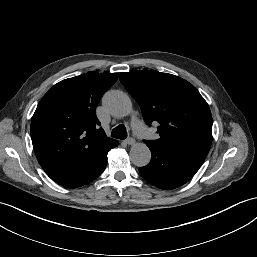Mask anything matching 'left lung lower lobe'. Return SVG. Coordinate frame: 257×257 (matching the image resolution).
<instances>
[{"mask_svg":"<svg viewBox=\"0 0 257 257\" xmlns=\"http://www.w3.org/2000/svg\"><path fill=\"white\" fill-rule=\"evenodd\" d=\"M150 163L139 168L141 176L161 189H174L189 181L198 171L208 151L202 149L166 150L147 145Z\"/></svg>","mask_w":257,"mask_h":257,"instance_id":"left-lung-lower-lobe-1","label":"left lung lower lobe"}]
</instances>
